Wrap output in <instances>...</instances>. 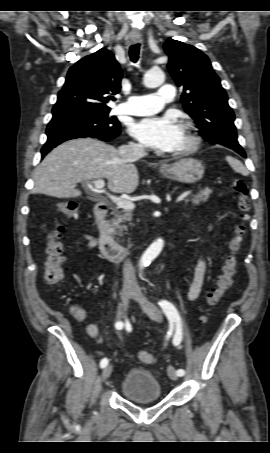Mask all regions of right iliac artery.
<instances>
[{"label":"right iliac artery","instance_id":"right-iliac-artery-1","mask_svg":"<svg viewBox=\"0 0 270 453\" xmlns=\"http://www.w3.org/2000/svg\"><path fill=\"white\" fill-rule=\"evenodd\" d=\"M115 327H116V329L121 330L123 328V322H121V321L116 322ZM107 365H108V359L103 358L100 362V367L105 368Z\"/></svg>","mask_w":270,"mask_h":453}]
</instances>
